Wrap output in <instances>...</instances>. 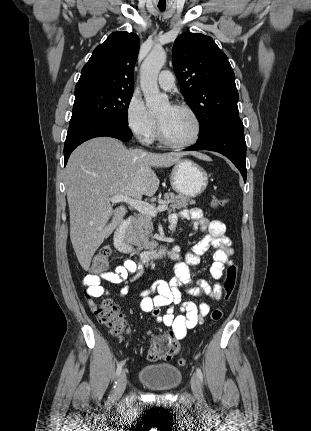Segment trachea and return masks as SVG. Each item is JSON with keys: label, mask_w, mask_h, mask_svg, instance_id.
I'll return each instance as SVG.
<instances>
[{"label": "trachea", "mask_w": 311, "mask_h": 431, "mask_svg": "<svg viewBox=\"0 0 311 431\" xmlns=\"http://www.w3.org/2000/svg\"><path fill=\"white\" fill-rule=\"evenodd\" d=\"M159 10L164 11L166 7H158Z\"/></svg>", "instance_id": "3493384b"}]
</instances>
